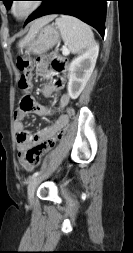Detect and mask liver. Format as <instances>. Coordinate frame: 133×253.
Here are the masks:
<instances>
[{"label":"liver","mask_w":133,"mask_h":253,"mask_svg":"<svg viewBox=\"0 0 133 253\" xmlns=\"http://www.w3.org/2000/svg\"><path fill=\"white\" fill-rule=\"evenodd\" d=\"M56 17V15H47L44 17H41L37 20H35L31 27L30 30L28 32V34L19 41L18 46L21 47L23 45V43L29 39L30 37H32L33 35H35L39 29H41L44 25L48 24L50 21H52L54 18Z\"/></svg>","instance_id":"1"}]
</instances>
